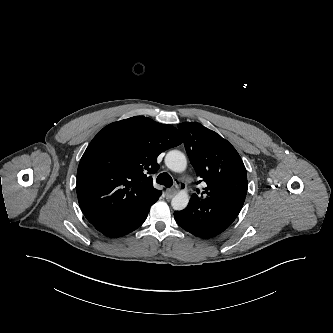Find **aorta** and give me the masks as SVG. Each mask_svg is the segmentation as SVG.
I'll return each instance as SVG.
<instances>
[{"instance_id":"762f6f07","label":"aorta","mask_w":333,"mask_h":333,"mask_svg":"<svg viewBox=\"0 0 333 333\" xmlns=\"http://www.w3.org/2000/svg\"><path fill=\"white\" fill-rule=\"evenodd\" d=\"M165 164L171 171L181 173L186 169L187 159L181 151L172 150L167 153ZM188 202L189 196L187 192L180 191L173 197L171 205L174 210H183L188 205Z\"/></svg>"}]
</instances>
